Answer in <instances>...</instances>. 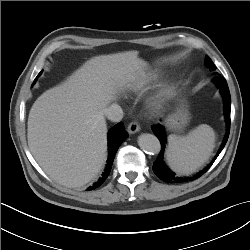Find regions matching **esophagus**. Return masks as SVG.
<instances>
[{"label":"esophagus","instance_id":"esophagus-1","mask_svg":"<svg viewBox=\"0 0 250 250\" xmlns=\"http://www.w3.org/2000/svg\"><path fill=\"white\" fill-rule=\"evenodd\" d=\"M127 130L130 134H135L140 131V126L137 122L133 121L128 125Z\"/></svg>","mask_w":250,"mask_h":250}]
</instances>
